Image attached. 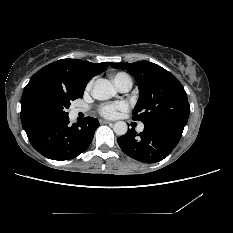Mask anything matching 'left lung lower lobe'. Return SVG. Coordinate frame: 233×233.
<instances>
[{
  "label": "left lung lower lobe",
  "instance_id": "obj_1",
  "mask_svg": "<svg viewBox=\"0 0 233 233\" xmlns=\"http://www.w3.org/2000/svg\"><path fill=\"white\" fill-rule=\"evenodd\" d=\"M183 130L144 124L143 132L134 129L117 139L122 151L144 163H154L166 158L180 141Z\"/></svg>",
  "mask_w": 233,
  "mask_h": 233
}]
</instances>
